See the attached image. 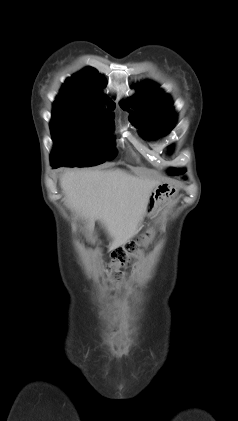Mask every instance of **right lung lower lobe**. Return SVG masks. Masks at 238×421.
Segmentation results:
<instances>
[{
    "label": "right lung lower lobe",
    "mask_w": 238,
    "mask_h": 421,
    "mask_svg": "<svg viewBox=\"0 0 238 421\" xmlns=\"http://www.w3.org/2000/svg\"><path fill=\"white\" fill-rule=\"evenodd\" d=\"M51 165H52V167H54V168H58V167L63 166V165H62V164H60V163H51Z\"/></svg>",
    "instance_id": "1"
}]
</instances>
